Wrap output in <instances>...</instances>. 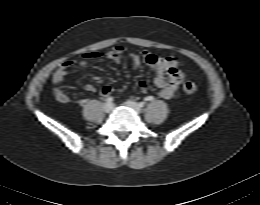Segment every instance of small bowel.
<instances>
[{"mask_svg": "<svg viewBox=\"0 0 260 205\" xmlns=\"http://www.w3.org/2000/svg\"><path fill=\"white\" fill-rule=\"evenodd\" d=\"M125 50L123 45H117L105 55L92 52L85 54L83 58L77 61H64L52 77V89L55 99L63 104L70 101V97L64 91V83L66 76L72 67L76 66L79 69H84L89 61L101 56L118 63L121 61ZM129 61L135 68H138L141 65V62L144 61L153 70L154 84L159 89L160 96L165 99H171L175 95L179 85L185 78L176 59L172 56H157L149 51H143L141 54L133 52L129 54ZM139 88L142 93H146L148 88L147 82L141 81L139 83ZM85 89L89 92L96 91V87L93 84H86ZM100 93L104 97H110L112 95V89L108 86H104L100 90ZM80 103H85V100H81Z\"/></svg>", "mask_w": 260, "mask_h": 205, "instance_id": "c3829d8e", "label": "small bowel"}]
</instances>
